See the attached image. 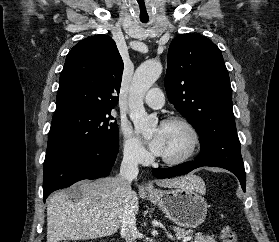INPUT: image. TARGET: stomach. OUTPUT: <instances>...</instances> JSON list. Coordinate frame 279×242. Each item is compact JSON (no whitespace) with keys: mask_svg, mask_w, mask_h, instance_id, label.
I'll list each match as a JSON object with an SVG mask.
<instances>
[{"mask_svg":"<svg viewBox=\"0 0 279 242\" xmlns=\"http://www.w3.org/2000/svg\"><path fill=\"white\" fill-rule=\"evenodd\" d=\"M147 198L159 207L174 223L193 229L201 225L207 216L208 205L199 191L187 187L155 190Z\"/></svg>","mask_w":279,"mask_h":242,"instance_id":"obj_1","label":"stomach"}]
</instances>
